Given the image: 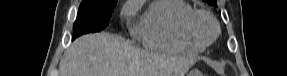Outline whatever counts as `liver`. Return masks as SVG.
I'll return each mask as SVG.
<instances>
[{"label": "liver", "instance_id": "obj_1", "mask_svg": "<svg viewBox=\"0 0 287 76\" xmlns=\"http://www.w3.org/2000/svg\"><path fill=\"white\" fill-rule=\"evenodd\" d=\"M196 58L140 51L108 33L76 39L64 52L60 76H183Z\"/></svg>", "mask_w": 287, "mask_h": 76}]
</instances>
